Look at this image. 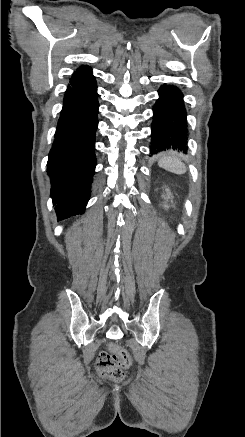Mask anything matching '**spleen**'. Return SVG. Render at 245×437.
I'll return each mask as SVG.
<instances>
[{
	"label": "spleen",
	"mask_w": 245,
	"mask_h": 437,
	"mask_svg": "<svg viewBox=\"0 0 245 437\" xmlns=\"http://www.w3.org/2000/svg\"><path fill=\"white\" fill-rule=\"evenodd\" d=\"M158 165L176 174H184L187 171L186 165L173 153L161 154Z\"/></svg>",
	"instance_id": "spleen-1"
}]
</instances>
